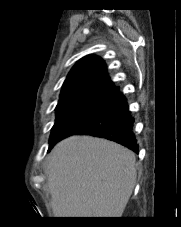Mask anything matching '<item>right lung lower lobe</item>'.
Instances as JSON below:
<instances>
[{"label": "right lung lower lobe", "instance_id": "98d812e1", "mask_svg": "<svg viewBox=\"0 0 181 227\" xmlns=\"http://www.w3.org/2000/svg\"><path fill=\"white\" fill-rule=\"evenodd\" d=\"M133 122L126 98L116 88L100 109L70 126L56 142L50 143L49 150L70 135L86 134L115 141L138 153V145L132 132Z\"/></svg>", "mask_w": 181, "mask_h": 227}]
</instances>
